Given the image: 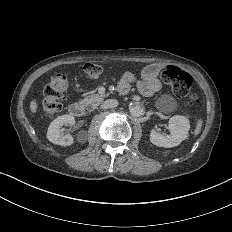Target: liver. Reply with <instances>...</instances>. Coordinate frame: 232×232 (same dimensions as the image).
Instances as JSON below:
<instances>
[{
	"label": "liver",
	"mask_w": 232,
	"mask_h": 232,
	"mask_svg": "<svg viewBox=\"0 0 232 232\" xmlns=\"http://www.w3.org/2000/svg\"><path fill=\"white\" fill-rule=\"evenodd\" d=\"M31 108H32V110L35 109V104L34 103L31 104Z\"/></svg>",
	"instance_id": "1"
}]
</instances>
